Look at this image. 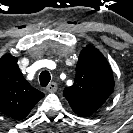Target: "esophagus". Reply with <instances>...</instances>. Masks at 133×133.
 <instances>
[{
	"label": "esophagus",
	"mask_w": 133,
	"mask_h": 133,
	"mask_svg": "<svg viewBox=\"0 0 133 133\" xmlns=\"http://www.w3.org/2000/svg\"><path fill=\"white\" fill-rule=\"evenodd\" d=\"M57 83L56 82H51L47 87L46 90L48 92H55L57 90Z\"/></svg>",
	"instance_id": "obj_1"
}]
</instances>
